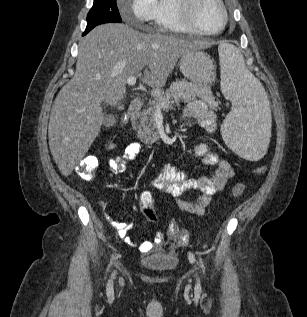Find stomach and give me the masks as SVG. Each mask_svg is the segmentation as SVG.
Returning a JSON list of instances; mask_svg holds the SVG:
<instances>
[{
	"label": "stomach",
	"instance_id": "stomach-1",
	"mask_svg": "<svg viewBox=\"0 0 307 317\" xmlns=\"http://www.w3.org/2000/svg\"><path fill=\"white\" fill-rule=\"evenodd\" d=\"M179 68L184 77L193 83L211 85L214 82V61L199 49L186 51L180 57Z\"/></svg>",
	"mask_w": 307,
	"mask_h": 317
}]
</instances>
